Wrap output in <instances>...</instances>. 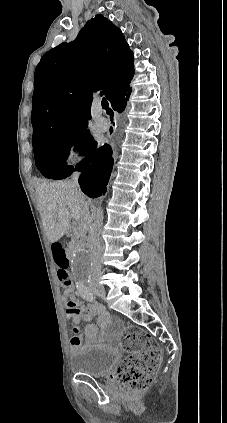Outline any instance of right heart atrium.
Segmentation results:
<instances>
[{"label": "right heart atrium", "instance_id": "d8ad5b80", "mask_svg": "<svg viewBox=\"0 0 227 423\" xmlns=\"http://www.w3.org/2000/svg\"><path fill=\"white\" fill-rule=\"evenodd\" d=\"M85 158V144L81 137L70 139L63 151L62 161L66 165H76Z\"/></svg>", "mask_w": 227, "mask_h": 423}]
</instances>
